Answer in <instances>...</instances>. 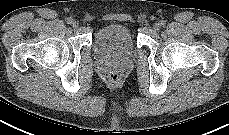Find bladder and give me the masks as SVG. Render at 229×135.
I'll return each instance as SVG.
<instances>
[{
  "mask_svg": "<svg viewBox=\"0 0 229 135\" xmlns=\"http://www.w3.org/2000/svg\"><path fill=\"white\" fill-rule=\"evenodd\" d=\"M94 46L99 55H128L133 52L135 42L126 25L111 23L98 30Z\"/></svg>",
  "mask_w": 229,
  "mask_h": 135,
  "instance_id": "obj_1",
  "label": "bladder"
}]
</instances>
